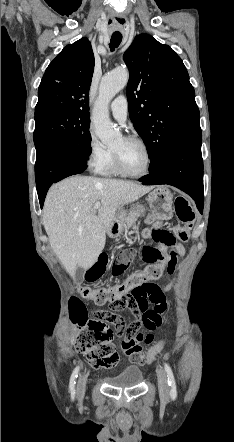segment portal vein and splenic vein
<instances>
[{"label": "portal vein and splenic vein", "mask_w": 234, "mask_h": 442, "mask_svg": "<svg viewBox=\"0 0 234 442\" xmlns=\"http://www.w3.org/2000/svg\"><path fill=\"white\" fill-rule=\"evenodd\" d=\"M100 206H101V203H100V202H96V203L94 204V209H99Z\"/></svg>", "instance_id": "18ae733b"}]
</instances>
